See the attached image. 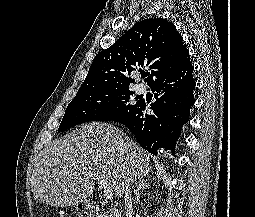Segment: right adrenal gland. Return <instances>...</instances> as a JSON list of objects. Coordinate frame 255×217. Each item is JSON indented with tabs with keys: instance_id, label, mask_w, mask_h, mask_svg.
I'll return each mask as SVG.
<instances>
[{
	"instance_id": "right-adrenal-gland-1",
	"label": "right adrenal gland",
	"mask_w": 255,
	"mask_h": 217,
	"mask_svg": "<svg viewBox=\"0 0 255 217\" xmlns=\"http://www.w3.org/2000/svg\"><path fill=\"white\" fill-rule=\"evenodd\" d=\"M137 189L135 190V198L133 200V203L136 204L140 200L141 192L149 187V183H147V179L141 177L138 180V183H136Z\"/></svg>"
}]
</instances>
